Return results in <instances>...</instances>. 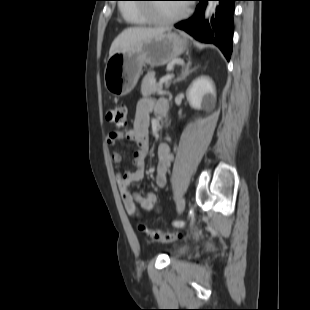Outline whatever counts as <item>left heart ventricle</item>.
I'll return each mask as SVG.
<instances>
[{
  "label": "left heart ventricle",
  "mask_w": 310,
  "mask_h": 310,
  "mask_svg": "<svg viewBox=\"0 0 310 310\" xmlns=\"http://www.w3.org/2000/svg\"><path fill=\"white\" fill-rule=\"evenodd\" d=\"M182 10L181 5L177 4H160L155 8L158 16H172Z\"/></svg>",
  "instance_id": "b2bd125f"
}]
</instances>
